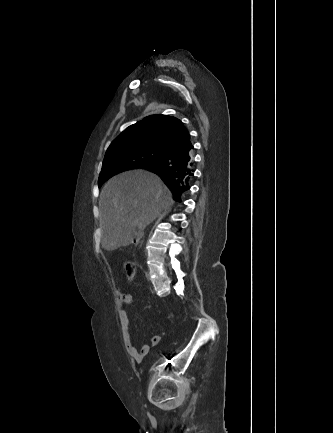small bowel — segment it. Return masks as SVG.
I'll return each instance as SVG.
<instances>
[{
    "label": "small bowel",
    "mask_w": 333,
    "mask_h": 433,
    "mask_svg": "<svg viewBox=\"0 0 333 433\" xmlns=\"http://www.w3.org/2000/svg\"><path fill=\"white\" fill-rule=\"evenodd\" d=\"M121 302V309L119 312V319L123 331L124 343L129 355L136 361L141 362L143 358L150 352L151 347L156 346L161 341L160 335H154L151 339V344L142 345L140 348L136 347L132 341L129 333L130 319L127 307L132 304L134 297L131 293H121L119 296Z\"/></svg>",
    "instance_id": "1"
}]
</instances>
